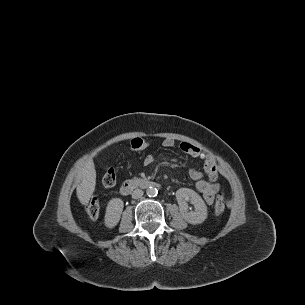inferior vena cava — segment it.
Listing matches in <instances>:
<instances>
[{"label": "inferior vena cava", "mask_w": 305, "mask_h": 305, "mask_svg": "<svg viewBox=\"0 0 305 305\" xmlns=\"http://www.w3.org/2000/svg\"><path fill=\"white\" fill-rule=\"evenodd\" d=\"M143 196V191L141 189H135L133 192H132V198L133 199H139Z\"/></svg>", "instance_id": "602c4592"}]
</instances>
